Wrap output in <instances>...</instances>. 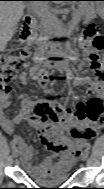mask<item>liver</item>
Listing matches in <instances>:
<instances>
[{"mask_svg":"<svg viewBox=\"0 0 104 189\" xmlns=\"http://www.w3.org/2000/svg\"><path fill=\"white\" fill-rule=\"evenodd\" d=\"M23 1H1L0 3V49L4 50L16 32L25 7Z\"/></svg>","mask_w":104,"mask_h":189,"instance_id":"liver-1","label":"liver"}]
</instances>
